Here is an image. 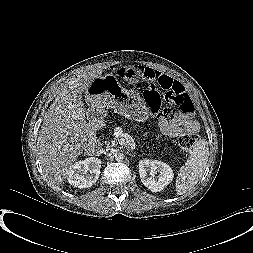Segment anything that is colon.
<instances>
[{
    "label": "colon",
    "mask_w": 253,
    "mask_h": 253,
    "mask_svg": "<svg viewBox=\"0 0 253 253\" xmlns=\"http://www.w3.org/2000/svg\"><path fill=\"white\" fill-rule=\"evenodd\" d=\"M117 76L132 89H140L143 85L148 87L145 91V100L150 112L155 116L165 119L177 109L185 114L193 111V103L181 85L171 86L156 74H150L143 66L122 67L117 71ZM196 141L197 136L194 133H184L177 139L178 150L182 153L187 152Z\"/></svg>",
    "instance_id": "obj_1"
}]
</instances>
